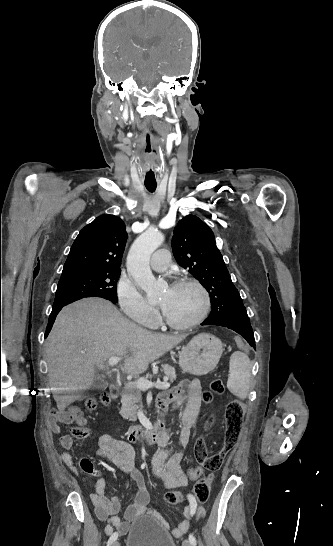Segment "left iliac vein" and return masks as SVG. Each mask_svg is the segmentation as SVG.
Returning a JSON list of instances; mask_svg holds the SVG:
<instances>
[{"label": "left iliac vein", "instance_id": "obj_1", "mask_svg": "<svg viewBox=\"0 0 333 546\" xmlns=\"http://www.w3.org/2000/svg\"><path fill=\"white\" fill-rule=\"evenodd\" d=\"M182 545L183 546H192V544L190 543L189 540H184Z\"/></svg>", "mask_w": 333, "mask_h": 546}]
</instances>
